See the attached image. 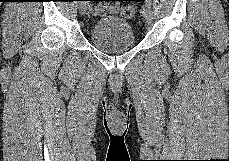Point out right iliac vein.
Masks as SVG:
<instances>
[{
	"instance_id": "1",
	"label": "right iliac vein",
	"mask_w": 229,
	"mask_h": 161,
	"mask_svg": "<svg viewBox=\"0 0 229 161\" xmlns=\"http://www.w3.org/2000/svg\"><path fill=\"white\" fill-rule=\"evenodd\" d=\"M79 10L82 15H85L87 12V5L85 3H81L79 5Z\"/></svg>"
}]
</instances>
